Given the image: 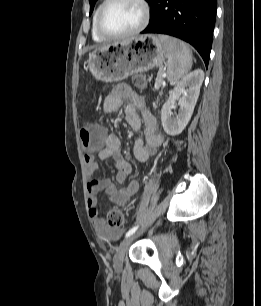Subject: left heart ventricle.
I'll list each match as a JSON object with an SVG mask.
<instances>
[{"mask_svg": "<svg viewBox=\"0 0 261 306\" xmlns=\"http://www.w3.org/2000/svg\"><path fill=\"white\" fill-rule=\"evenodd\" d=\"M142 17L139 4L133 0H119L107 9L103 25L111 33H128L140 24Z\"/></svg>", "mask_w": 261, "mask_h": 306, "instance_id": "1", "label": "left heart ventricle"}]
</instances>
